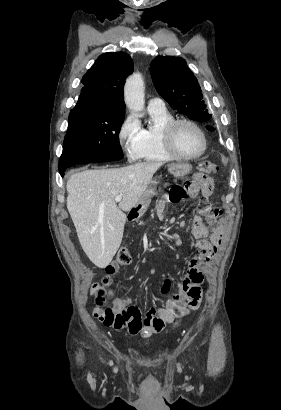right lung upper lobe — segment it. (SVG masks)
<instances>
[{"label":"right lung upper lobe","mask_w":281,"mask_h":410,"mask_svg":"<svg viewBox=\"0 0 281 410\" xmlns=\"http://www.w3.org/2000/svg\"><path fill=\"white\" fill-rule=\"evenodd\" d=\"M133 68V61L126 53L112 52L99 56L82 78L84 87L75 107L125 113L123 86Z\"/></svg>","instance_id":"right-lung-upper-lobe-1"}]
</instances>
